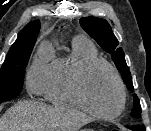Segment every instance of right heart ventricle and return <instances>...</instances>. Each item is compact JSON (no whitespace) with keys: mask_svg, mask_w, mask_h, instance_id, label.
<instances>
[{"mask_svg":"<svg viewBox=\"0 0 151 131\" xmlns=\"http://www.w3.org/2000/svg\"><path fill=\"white\" fill-rule=\"evenodd\" d=\"M99 58L98 50L89 40L77 37L72 41L71 53L50 62L44 86L45 98L59 105H77L70 93V82L88 61Z\"/></svg>","mask_w":151,"mask_h":131,"instance_id":"obj_1","label":"right heart ventricle"}]
</instances>
